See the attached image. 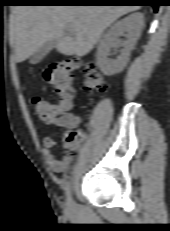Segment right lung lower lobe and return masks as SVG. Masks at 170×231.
I'll return each instance as SVG.
<instances>
[{
    "mask_svg": "<svg viewBox=\"0 0 170 231\" xmlns=\"http://www.w3.org/2000/svg\"><path fill=\"white\" fill-rule=\"evenodd\" d=\"M32 5H150L157 12L160 0H30Z\"/></svg>",
    "mask_w": 170,
    "mask_h": 231,
    "instance_id": "98d812e1",
    "label": "right lung lower lobe"
}]
</instances>
